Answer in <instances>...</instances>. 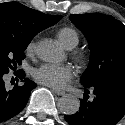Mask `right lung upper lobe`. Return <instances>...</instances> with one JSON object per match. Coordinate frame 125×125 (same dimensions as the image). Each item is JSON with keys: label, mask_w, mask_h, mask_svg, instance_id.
<instances>
[{"label": "right lung upper lobe", "mask_w": 125, "mask_h": 125, "mask_svg": "<svg viewBox=\"0 0 125 125\" xmlns=\"http://www.w3.org/2000/svg\"><path fill=\"white\" fill-rule=\"evenodd\" d=\"M60 19L59 15L43 14L17 2L0 4V33L18 39L32 40Z\"/></svg>", "instance_id": "1"}]
</instances>
